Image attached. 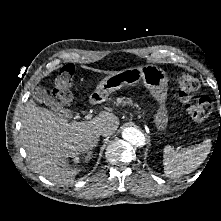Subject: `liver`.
<instances>
[{
  "mask_svg": "<svg viewBox=\"0 0 221 221\" xmlns=\"http://www.w3.org/2000/svg\"><path fill=\"white\" fill-rule=\"evenodd\" d=\"M21 123L22 144L35 171L55 183L67 184L78 173L70 168L69 158L87 153L98 140V130H106L105 136L112 135L119 119L113 113L101 111L89 121L68 122L61 115L38 107L31 99L22 112Z\"/></svg>",
  "mask_w": 221,
  "mask_h": 221,
  "instance_id": "6515ba94",
  "label": "liver"
}]
</instances>
